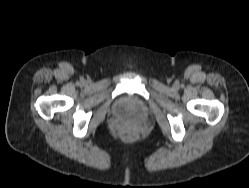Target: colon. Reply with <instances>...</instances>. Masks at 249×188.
I'll return each mask as SVG.
<instances>
[{
    "label": "colon",
    "mask_w": 249,
    "mask_h": 188,
    "mask_svg": "<svg viewBox=\"0 0 249 188\" xmlns=\"http://www.w3.org/2000/svg\"><path fill=\"white\" fill-rule=\"evenodd\" d=\"M134 134L131 132V131H128L125 133V137L128 138V139H131L133 138Z\"/></svg>",
    "instance_id": "colon-1"
}]
</instances>
